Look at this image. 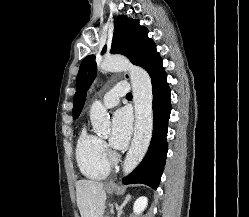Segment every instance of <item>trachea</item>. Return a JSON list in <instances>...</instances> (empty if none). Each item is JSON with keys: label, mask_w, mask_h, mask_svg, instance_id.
Wrapping results in <instances>:
<instances>
[{"label": "trachea", "mask_w": 249, "mask_h": 217, "mask_svg": "<svg viewBox=\"0 0 249 217\" xmlns=\"http://www.w3.org/2000/svg\"><path fill=\"white\" fill-rule=\"evenodd\" d=\"M126 97H132V93H127Z\"/></svg>", "instance_id": "3493384b"}]
</instances>
